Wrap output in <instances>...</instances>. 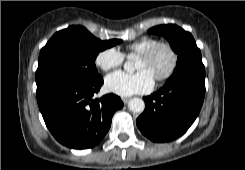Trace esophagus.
I'll use <instances>...</instances> for the list:
<instances>
[{
  "label": "esophagus",
  "instance_id": "34e87169",
  "mask_svg": "<svg viewBox=\"0 0 245 170\" xmlns=\"http://www.w3.org/2000/svg\"><path fill=\"white\" fill-rule=\"evenodd\" d=\"M129 100H130V98H128V97H123L122 98V101H123L124 104H126Z\"/></svg>",
  "mask_w": 245,
  "mask_h": 170
}]
</instances>
